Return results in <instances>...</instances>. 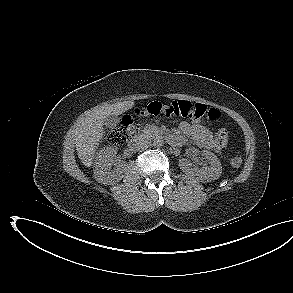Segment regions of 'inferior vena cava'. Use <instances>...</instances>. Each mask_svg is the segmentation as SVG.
I'll return each mask as SVG.
<instances>
[{
  "instance_id": "602c4592",
  "label": "inferior vena cava",
  "mask_w": 293,
  "mask_h": 293,
  "mask_svg": "<svg viewBox=\"0 0 293 293\" xmlns=\"http://www.w3.org/2000/svg\"><path fill=\"white\" fill-rule=\"evenodd\" d=\"M149 146H151V140L140 138L139 140L136 141L134 145V149L136 151H142L147 149Z\"/></svg>"
}]
</instances>
